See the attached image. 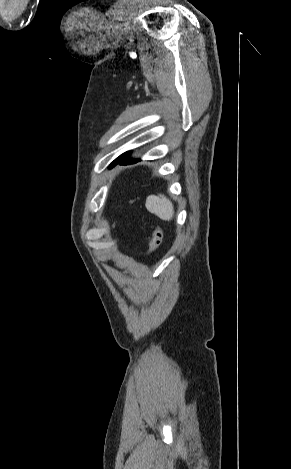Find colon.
<instances>
[{
	"label": "colon",
	"mask_w": 291,
	"mask_h": 469,
	"mask_svg": "<svg viewBox=\"0 0 291 469\" xmlns=\"http://www.w3.org/2000/svg\"><path fill=\"white\" fill-rule=\"evenodd\" d=\"M162 237H163V234H162L161 229L155 228L152 234L150 244H149V249L147 252L148 255L154 253L158 249V247L160 246L162 242Z\"/></svg>",
	"instance_id": "obj_1"
}]
</instances>
